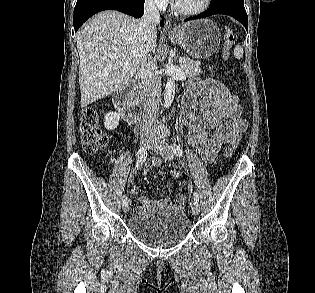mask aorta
Masks as SVG:
<instances>
[{
  "label": "aorta",
  "instance_id": "aorta-1",
  "mask_svg": "<svg viewBox=\"0 0 315 293\" xmlns=\"http://www.w3.org/2000/svg\"><path fill=\"white\" fill-rule=\"evenodd\" d=\"M175 95V82L173 78H168L164 92V106L169 108Z\"/></svg>",
  "mask_w": 315,
  "mask_h": 293
}]
</instances>
